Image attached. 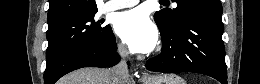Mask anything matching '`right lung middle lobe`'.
I'll use <instances>...</instances> for the list:
<instances>
[{"label": "right lung middle lobe", "mask_w": 260, "mask_h": 84, "mask_svg": "<svg viewBox=\"0 0 260 84\" xmlns=\"http://www.w3.org/2000/svg\"><path fill=\"white\" fill-rule=\"evenodd\" d=\"M96 12L71 19L60 25L48 28V48L46 68L51 67L64 54L82 46L108 47L112 43L113 32L110 25H102Z\"/></svg>", "instance_id": "dd1d6c3e"}]
</instances>
